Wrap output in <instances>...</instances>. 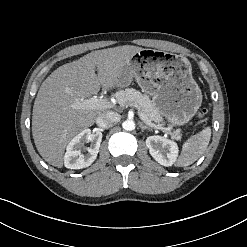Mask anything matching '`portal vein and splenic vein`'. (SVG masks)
<instances>
[{
  "instance_id": "obj_1",
  "label": "portal vein and splenic vein",
  "mask_w": 247,
  "mask_h": 247,
  "mask_svg": "<svg viewBox=\"0 0 247 247\" xmlns=\"http://www.w3.org/2000/svg\"><path fill=\"white\" fill-rule=\"evenodd\" d=\"M130 106H133L137 109L141 120H143L147 125H149L150 127L161 129V130L167 132L168 134L172 135V133L170 132V130L168 128H164L160 125H156V124L152 123L151 121H149L148 119H146V117L140 111V109L137 107V105L131 104ZM76 107L82 108V109H106V108H111L112 104L106 99H102V98H98L97 96H93L89 99H85V100L82 99V100L78 101L76 103Z\"/></svg>"
}]
</instances>
